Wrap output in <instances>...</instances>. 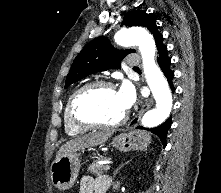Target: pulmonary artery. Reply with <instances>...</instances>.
I'll return each instance as SVG.
<instances>
[{
	"label": "pulmonary artery",
	"instance_id": "1",
	"mask_svg": "<svg viewBox=\"0 0 221 193\" xmlns=\"http://www.w3.org/2000/svg\"><path fill=\"white\" fill-rule=\"evenodd\" d=\"M141 62L139 56L137 54H133L129 57L127 64L129 66H136Z\"/></svg>",
	"mask_w": 221,
	"mask_h": 193
}]
</instances>
